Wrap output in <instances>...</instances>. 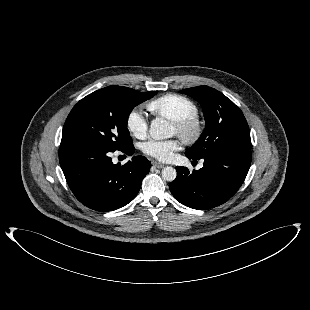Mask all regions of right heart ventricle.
Segmentation results:
<instances>
[{
	"instance_id": "e07e8e85",
	"label": "right heart ventricle",
	"mask_w": 310,
	"mask_h": 310,
	"mask_svg": "<svg viewBox=\"0 0 310 310\" xmlns=\"http://www.w3.org/2000/svg\"><path fill=\"white\" fill-rule=\"evenodd\" d=\"M147 108L152 114L171 121L194 116L198 112L194 101L175 93L165 94L153 99L147 104Z\"/></svg>"
}]
</instances>
